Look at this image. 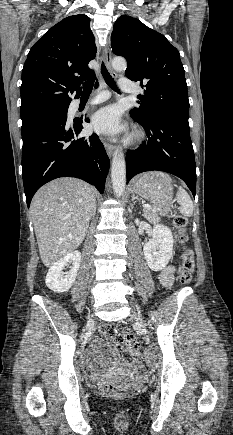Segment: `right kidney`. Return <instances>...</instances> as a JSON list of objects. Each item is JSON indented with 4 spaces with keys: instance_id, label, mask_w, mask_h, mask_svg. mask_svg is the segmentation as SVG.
Here are the masks:
<instances>
[{
    "instance_id": "obj_1",
    "label": "right kidney",
    "mask_w": 233,
    "mask_h": 435,
    "mask_svg": "<svg viewBox=\"0 0 233 435\" xmlns=\"http://www.w3.org/2000/svg\"><path fill=\"white\" fill-rule=\"evenodd\" d=\"M81 261V253L73 251L50 267L45 283L46 286L57 293L67 292L73 285ZM71 264L69 272L63 273L65 266Z\"/></svg>"
}]
</instances>
